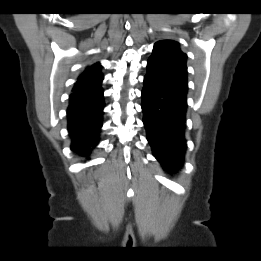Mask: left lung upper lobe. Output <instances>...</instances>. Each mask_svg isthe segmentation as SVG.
<instances>
[{
	"label": "left lung upper lobe",
	"mask_w": 261,
	"mask_h": 261,
	"mask_svg": "<svg viewBox=\"0 0 261 261\" xmlns=\"http://www.w3.org/2000/svg\"><path fill=\"white\" fill-rule=\"evenodd\" d=\"M149 60L161 66L187 73V55L180 50L179 43L173 40L156 42Z\"/></svg>",
	"instance_id": "1"
}]
</instances>
